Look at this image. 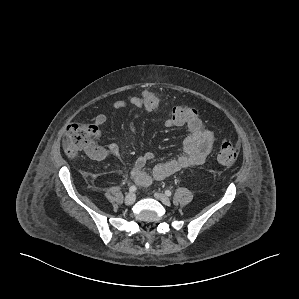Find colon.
Instances as JSON below:
<instances>
[{
    "mask_svg": "<svg viewBox=\"0 0 299 299\" xmlns=\"http://www.w3.org/2000/svg\"><path fill=\"white\" fill-rule=\"evenodd\" d=\"M143 106L147 112L165 114L176 126H186L198 118V112L187 104L167 105L160 95L153 90H145L140 94ZM98 135L97 127L84 122L71 123L66 130L63 148L67 156L76 157L83 151H95V138ZM238 147L230 141L221 143L217 160L220 164L230 166L238 157Z\"/></svg>",
    "mask_w": 299,
    "mask_h": 299,
    "instance_id": "1",
    "label": "colon"
}]
</instances>
